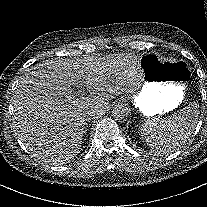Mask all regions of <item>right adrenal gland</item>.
Returning a JSON list of instances; mask_svg holds the SVG:
<instances>
[{
  "label": "right adrenal gland",
  "mask_w": 207,
  "mask_h": 207,
  "mask_svg": "<svg viewBox=\"0 0 207 207\" xmlns=\"http://www.w3.org/2000/svg\"><path fill=\"white\" fill-rule=\"evenodd\" d=\"M87 127H88V124H87V122H85V123L83 124L84 134L87 133Z\"/></svg>",
  "instance_id": "obj_1"
}]
</instances>
